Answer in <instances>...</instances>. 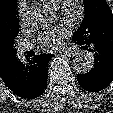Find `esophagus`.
Masks as SVG:
<instances>
[{
  "instance_id": "34e87169",
  "label": "esophagus",
  "mask_w": 113,
  "mask_h": 113,
  "mask_svg": "<svg viewBox=\"0 0 113 113\" xmlns=\"http://www.w3.org/2000/svg\"><path fill=\"white\" fill-rule=\"evenodd\" d=\"M63 54L67 55L68 57H74L75 55H77V51L76 50H65L63 52Z\"/></svg>"
}]
</instances>
